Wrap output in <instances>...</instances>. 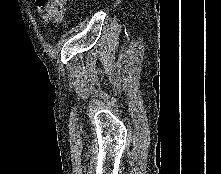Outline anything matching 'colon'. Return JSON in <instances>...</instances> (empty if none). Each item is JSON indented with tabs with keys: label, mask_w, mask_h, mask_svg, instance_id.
<instances>
[{
	"label": "colon",
	"mask_w": 221,
	"mask_h": 174,
	"mask_svg": "<svg viewBox=\"0 0 221 174\" xmlns=\"http://www.w3.org/2000/svg\"><path fill=\"white\" fill-rule=\"evenodd\" d=\"M66 0H35L45 15V19L50 22L60 23L63 19V5Z\"/></svg>",
	"instance_id": "colon-1"
}]
</instances>
